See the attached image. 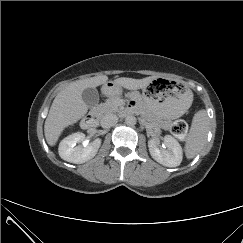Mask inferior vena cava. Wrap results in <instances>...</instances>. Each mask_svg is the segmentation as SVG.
<instances>
[{
	"label": "inferior vena cava",
	"instance_id": "obj_1",
	"mask_svg": "<svg viewBox=\"0 0 243 243\" xmlns=\"http://www.w3.org/2000/svg\"><path fill=\"white\" fill-rule=\"evenodd\" d=\"M118 122V117L115 114H106L101 120V126L103 128H110Z\"/></svg>",
	"mask_w": 243,
	"mask_h": 243
}]
</instances>
